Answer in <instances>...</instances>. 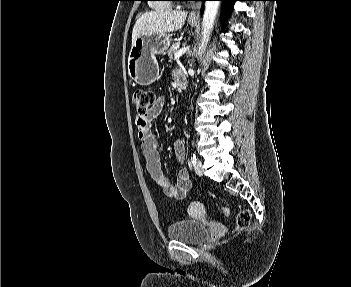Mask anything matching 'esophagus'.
Wrapping results in <instances>:
<instances>
[{
	"label": "esophagus",
	"mask_w": 351,
	"mask_h": 287,
	"mask_svg": "<svg viewBox=\"0 0 351 287\" xmlns=\"http://www.w3.org/2000/svg\"><path fill=\"white\" fill-rule=\"evenodd\" d=\"M199 7H200V1H197V3L194 6V9L191 11V13L189 15L190 19H197L198 18V16H199V14H198Z\"/></svg>",
	"instance_id": "esophagus-1"
}]
</instances>
